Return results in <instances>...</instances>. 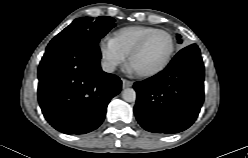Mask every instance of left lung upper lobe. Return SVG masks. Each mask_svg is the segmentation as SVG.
I'll list each match as a JSON object with an SVG mask.
<instances>
[{
  "label": "left lung upper lobe",
  "mask_w": 248,
  "mask_h": 158,
  "mask_svg": "<svg viewBox=\"0 0 248 158\" xmlns=\"http://www.w3.org/2000/svg\"><path fill=\"white\" fill-rule=\"evenodd\" d=\"M177 39H178V43H182V41L180 39V35H178Z\"/></svg>",
  "instance_id": "5c2ea615"
}]
</instances>
